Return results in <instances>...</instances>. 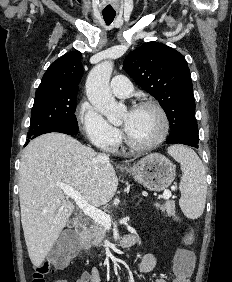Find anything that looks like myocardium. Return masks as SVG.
Masks as SVG:
<instances>
[{
    "label": "myocardium",
    "mask_w": 232,
    "mask_h": 282,
    "mask_svg": "<svg viewBox=\"0 0 232 282\" xmlns=\"http://www.w3.org/2000/svg\"><path fill=\"white\" fill-rule=\"evenodd\" d=\"M138 108H151L158 113V115L160 116L161 121H162L161 132L157 136V138H155L154 140L147 142V143L134 142L125 132L124 135H123L124 141H125L127 146H129L130 148H132L134 150L153 149V148L159 146L161 143H163L164 140L166 139V137L168 136V133H169V130H170V121H169L168 115H167L166 111L163 109V107L153 100H144V101L139 102L135 106V109H138Z\"/></svg>",
    "instance_id": "1"
}]
</instances>
